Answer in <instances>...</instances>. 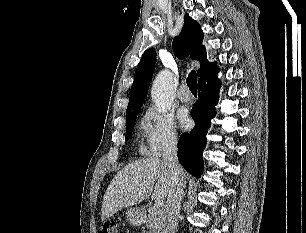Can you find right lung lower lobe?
Returning <instances> with one entry per match:
<instances>
[{
    "mask_svg": "<svg viewBox=\"0 0 306 233\" xmlns=\"http://www.w3.org/2000/svg\"><path fill=\"white\" fill-rule=\"evenodd\" d=\"M218 67L198 81V100L191 116L195 127L190 133H183L178 142V159L181 165L193 176L199 178L204 169L202 152L206 146V133L210 120L215 116L220 81L217 78Z\"/></svg>",
    "mask_w": 306,
    "mask_h": 233,
    "instance_id": "obj_1",
    "label": "right lung lower lobe"
}]
</instances>
